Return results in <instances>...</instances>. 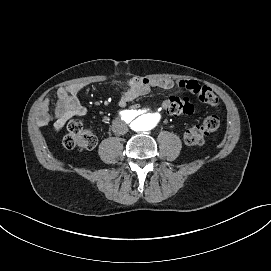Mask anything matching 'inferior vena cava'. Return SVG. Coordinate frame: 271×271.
Masks as SVG:
<instances>
[{
    "instance_id": "obj_1",
    "label": "inferior vena cava",
    "mask_w": 271,
    "mask_h": 271,
    "mask_svg": "<svg viewBox=\"0 0 271 271\" xmlns=\"http://www.w3.org/2000/svg\"><path fill=\"white\" fill-rule=\"evenodd\" d=\"M112 131L116 135H123L128 131V127L123 121H115L112 124Z\"/></svg>"
}]
</instances>
